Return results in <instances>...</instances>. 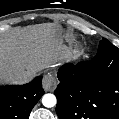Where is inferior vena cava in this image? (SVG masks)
<instances>
[{"instance_id": "602c4592", "label": "inferior vena cava", "mask_w": 119, "mask_h": 119, "mask_svg": "<svg viewBox=\"0 0 119 119\" xmlns=\"http://www.w3.org/2000/svg\"><path fill=\"white\" fill-rule=\"evenodd\" d=\"M34 78V75L28 74V73H23L20 75L15 76L11 83L13 84H25L31 81Z\"/></svg>"}]
</instances>
